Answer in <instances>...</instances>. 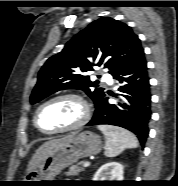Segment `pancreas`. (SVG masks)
Instances as JSON below:
<instances>
[{
  "label": "pancreas",
  "mask_w": 178,
  "mask_h": 186,
  "mask_svg": "<svg viewBox=\"0 0 178 186\" xmlns=\"http://www.w3.org/2000/svg\"><path fill=\"white\" fill-rule=\"evenodd\" d=\"M84 162H79L76 165H72L68 172H66L67 176H76L79 175L82 171H84V168L82 167Z\"/></svg>",
  "instance_id": "pancreas-1"
}]
</instances>
